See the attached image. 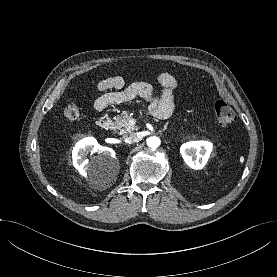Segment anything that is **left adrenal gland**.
I'll return each instance as SVG.
<instances>
[{
  "instance_id": "left-adrenal-gland-1",
  "label": "left adrenal gland",
  "mask_w": 277,
  "mask_h": 277,
  "mask_svg": "<svg viewBox=\"0 0 277 277\" xmlns=\"http://www.w3.org/2000/svg\"><path fill=\"white\" fill-rule=\"evenodd\" d=\"M167 125H168V123L165 125V127H164V131L167 129Z\"/></svg>"
}]
</instances>
